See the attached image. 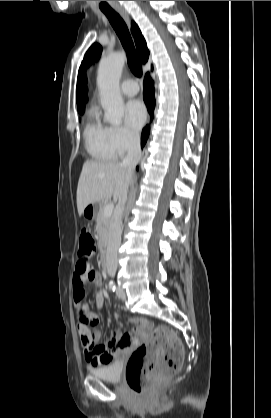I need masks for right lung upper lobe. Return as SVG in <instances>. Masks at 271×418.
<instances>
[{
    "label": "right lung upper lobe",
    "mask_w": 271,
    "mask_h": 418,
    "mask_svg": "<svg viewBox=\"0 0 271 418\" xmlns=\"http://www.w3.org/2000/svg\"><path fill=\"white\" fill-rule=\"evenodd\" d=\"M132 33L136 42L138 58L142 63H146L149 57V51L147 49L146 42L138 28V26L132 22ZM87 87H86V77L79 71L77 79V108L79 113H83L84 104L87 101Z\"/></svg>",
    "instance_id": "cb5924a9"
}]
</instances>
